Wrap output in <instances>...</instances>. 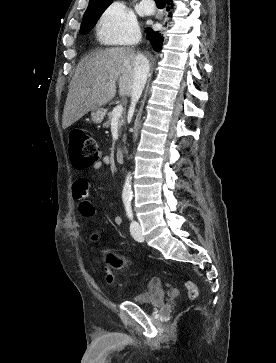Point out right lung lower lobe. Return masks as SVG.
<instances>
[{
	"instance_id": "98d812e1",
	"label": "right lung lower lobe",
	"mask_w": 276,
	"mask_h": 363,
	"mask_svg": "<svg viewBox=\"0 0 276 363\" xmlns=\"http://www.w3.org/2000/svg\"><path fill=\"white\" fill-rule=\"evenodd\" d=\"M171 6V7H170ZM173 8V3L168 2L167 11ZM171 15V13H169ZM147 32V39L150 41L155 51H160L163 46L164 33L159 31H153L150 28L145 29Z\"/></svg>"
}]
</instances>
